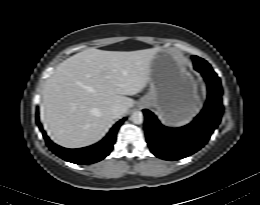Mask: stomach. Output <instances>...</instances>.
I'll use <instances>...</instances> for the list:
<instances>
[{"mask_svg": "<svg viewBox=\"0 0 260 205\" xmlns=\"http://www.w3.org/2000/svg\"><path fill=\"white\" fill-rule=\"evenodd\" d=\"M148 84L141 102L153 107L164 123H179L197 111V85L180 54L160 50L151 62Z\"/></svg>", "mask_w": 260, "mask_h": 205, "instance_id": "1", "label": "stomach"}]
</instances>
